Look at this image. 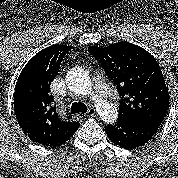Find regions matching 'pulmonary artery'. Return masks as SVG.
<instances>
[{"label":"pulmonary artery","mask_w":178,"mask_h":178,"mask_svg":"<svg viewBox=\"0 0 178 178\" xmlns=\"http://www.w3.org/2000/svg\"><path fill=\"white\" fill-rule=\"evenodd\" d=\"M94 88H95L96 93L99 96H102V97L113 96L112 93L109 90H107L105 84L103 83L100 77L94 78Z\"/></svg>","instance_id":"1"}]
</instances>
